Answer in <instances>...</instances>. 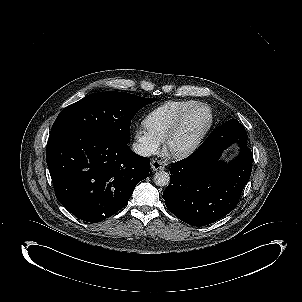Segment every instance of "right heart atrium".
<instances>
[{
  "label": "right heart atrium",
  "instance_id": "right-heart-atrium-1",
  "mask_svg": "<svg viewBox=\"0 0 302 302\" xmlns=\"http://www.w3.org/2000/svg\"><path fill=\"white\" fill-rule=\"evenodd\" d=\"M135 138L136 149L143 155L155 153L161 144L160 138L146 132L144 128L137 129Z\"/></svg>",
  "mask_w": 302,
  "mask_h": 302
}]
</instances>
